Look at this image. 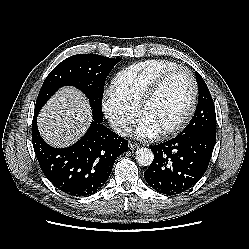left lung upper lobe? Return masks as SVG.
Returning a JSON list of instances; mask_svg holds the SVG:
<instances>
[{"instance_id": "obj_1", "label": "left lung upper lobe", "mask_w": 249, "mask_h": 249, "mask_svg": "<svg viewBox=\"0 0 249 249\" xmlns=\"http://www.w3.org/2000/svg\"><path fill=\"white\" fill-rule=\"evenodd\" d=\"M195 75L199 89L198 104L193 118L181 134L194 131H208L216 134V113L211 94L201 75L197 71Z\"/></svg>"}]
</instances>
